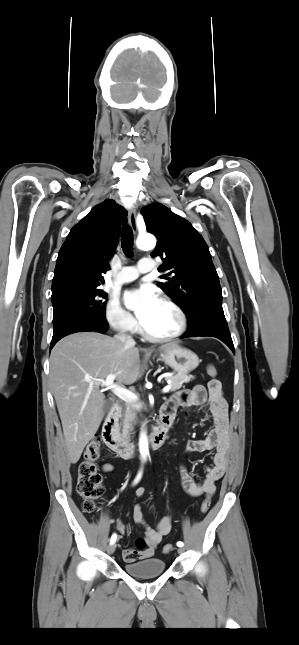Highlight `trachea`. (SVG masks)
<instances>
[{
    "label": "trachea",
    "mask_w": 299,
    "mask_h": 645,
    "mask_svg": "<svg viewBox=\"0 0 299 645\" xmlns=\"http://www.w3.org/2000/svg\"><path fill=\"white\" fill-rule=\"evenodd\" d=\"M133 241L132 229L129 226H123L121 231V245L127 257H132L133 255Z\"/></svg>",
    "instance_id": "obj_1"
}]
</instances>
